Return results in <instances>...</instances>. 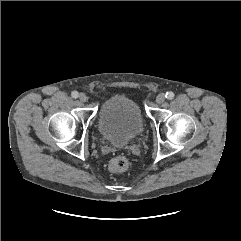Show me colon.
<instances>
[{"instance_id":"obj_1","label":"colon","mask_w":241,"mask_h":241,"mask_svg":"<svg viewBox=\"0 0 241 241\" xmlns=\"http://www.w3.org/2000/svg\"><path fill=\"white\" fill-rule=\"evenodd\" d=\"M129 166V161L126 156L118 155L113 157L109 162V170L113 173L124 172Z\"/></svg>"}]
</instances>
